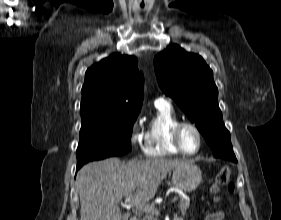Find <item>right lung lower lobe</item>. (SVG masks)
Here are the masks:
<instances>
[{"label": "right lung lower lobe", "instance_id": "right-lung-lower-lobe-1", "mask_svg": "<svg viewBox=\"0 0 281 220\" xmlns=\"http://www.w3.org/2000/svg\"><path fill=\"white\" fill-rule=\"evenodd\" d=\"M83 165H77V171L82 167Z\"/></svg>", "mask_w": 281, "mask_h": 220}]
</instances>
